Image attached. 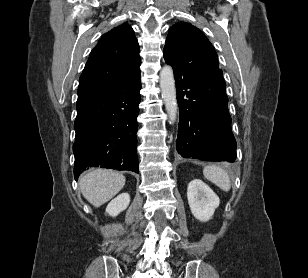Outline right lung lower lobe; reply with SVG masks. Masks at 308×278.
<instances>
[{"instance_id":"98d812e1","label":"right lung lower lobe","mask_w":308,"mask_h":278,"mask_svg":"<svg viewBox=\"0 0 308 278\" xmlns=\"http://www.w3.org/2000/svg\"><path fill=\"white\" fill-rule=\"evenodd\" d=\"M141 82L117 93L77 101L74 175L88 166L139 173L136 154Z\"/></svg>"}]
</instances>
